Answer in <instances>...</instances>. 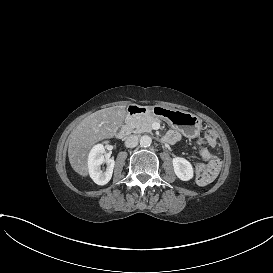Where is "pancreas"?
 Returning <instances> with one entry per match:
<instances>
[{"label": "pancreas", "mask_w": 273, "mask_h": 273, "mask_svg": "<svg viewBox=\"0 0 273 273\" xmlns=\"http://www.w3.org/2000/svg\"><path fill=\"white\" fill-rule=\"evenodd\" d=\"M155 122L160 123L161 120L150 115L126 118V124L133 129V133L135 134H140L144 132L151 133L152 124Z\"/></svg>", "instance_id": "obj_1"}]
</instances>
